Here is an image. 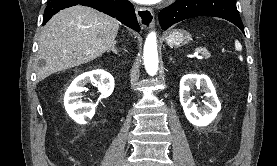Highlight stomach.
Instances as JSON below:
<instances>
[{
	"label": "stomach",
	"mask_w": 277,
	"mask_h": 166,
	"mask_svg": "<svg viewBox=\"0 0 277 166\" xmlns=\"http://www.w3.org/2000/svg\"><path fill=\"white\" fill-rule=\"evenodd\" d=\"M191 40V35L185 30H173L165 38V42L170 47H180Z\"/></svg>",
	"instance_id": "stomach-1"
}]
</instances>
